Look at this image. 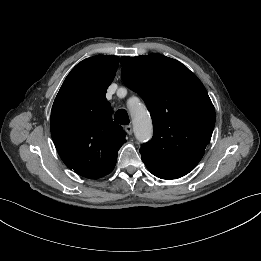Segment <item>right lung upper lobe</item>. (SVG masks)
<instances>
[{"label":"right lung upper lobe","mask_w":261,"mask_h":261,"mask_svg":"<svg viewBox=\"0 0 261 261\" xmlns=\"http://www.w3.org/2000/svg\"><path fill=\"white\" fill-rule=\"evenodd\" d=\"M117 56H94L77 64L63 82L51 111V135L69 169L89 178L103 177L115 167L126 142L112 121L105 93L115 77Z\"/></svg>","instance_id":"1"}]
</instances>
